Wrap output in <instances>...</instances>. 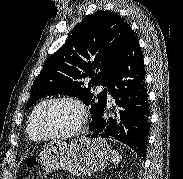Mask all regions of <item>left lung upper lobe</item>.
Segmentation results:
<instances>
[{
	"label": "left lung upper lobe",
	"instance_id": "1",
	"mask_svg": "<svg viewBox=\"0 0 183 179\" xmlns=\"http://www.w3.org/2000/svg\"><path fill=\"white\" fill-rule=\"evenodd\" d=\"M131 30L118 13L99 10L77 24L65 44L44 64L32 85L28 109L41 97L63 94L91 106L92 119L106 105L107 90L94 96L90 89L108 87L119 54ZM90 77L86 83L84 79Z\"/></svg>",
	"mask_w": 183,
	"mask_h": 179
}]
</instances>
